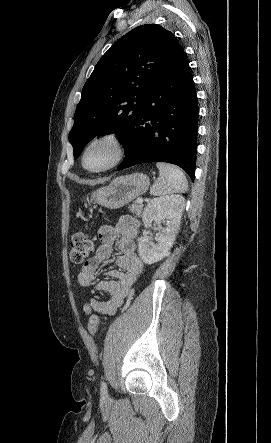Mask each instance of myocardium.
I'll list each match as a JSON object with an SVG mask.
<instances>
[{
    "mask_svg": "<svg viewBox=\"0 0 271 443\" xmlns=\"http://www.w3.org/2000/svg\"><path fill=\"white\" fill-rule=\"evenodd\" d=\"M103 140H108L113 143V145L115 147L114 158L112 159V161L110 163H108L107 165H105L104 167H102L100 169H96V170L86 169L83 164V158H84L85 151L87 150V148L90 145H92L98 141H103ZM126 153H127V145H126L123 135L118 131L109 130V131L102 132L98 135H95L94 137H92L90 140H88L86 142V144L84 145V147L81 150L79 162H80L81 168L84 171H86L88 173L97 174V173H102V172L108 171V170L116 167L117 165H119L124 160Z\"/></svg>",
    "mask_w": 271,
    "mask_h": 443,
    "instance_id": "myocardium-1",
    "label": "myocardium"
}]
</instances>
